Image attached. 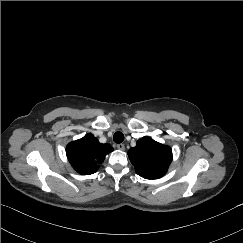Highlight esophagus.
<instances>
[{"label":"esophagus","instance_id":"1","mask_svg":"<svg viewBox=\"0 0 243 243\" xmlns=\"http://www.w3.org/2000/svg\"><path fill=\"white\" fill-rule=\"evenodd\" d=\"M116 147H117V149H119V150H121V151L125 150V146H124V144H122V143L117 144Z\"/></svg>","mask_w":243,"mask_h":243}]
</instances>
